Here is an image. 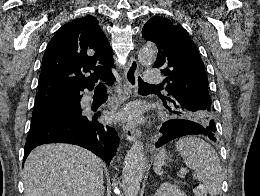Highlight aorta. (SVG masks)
<instances>
[{
	"label": "aorta",
	"mask_w": 260,
	"mask_h": 196,
	"mask_svg": "<svg viewBox=\"0 0 260 196\" xmlns=\"http://www.w3.org/2000/svg\"><path fill=\"white\" fill-rule=\"evenodd\" d=\"M157 53L155 45L145 44L139 50L138 61L143 66L150 65L155 62ZM147 164L143 142L136 140L127 152L122 170V187L125 196L138 195Z\"/></svg>",
	"instance_id": "obj_1"
}]
</instances>
